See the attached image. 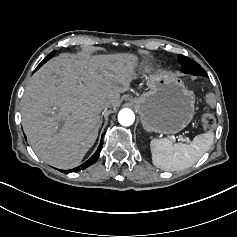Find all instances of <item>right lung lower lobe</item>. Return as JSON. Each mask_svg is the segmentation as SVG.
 Here are the masks:
<instances>
[{"label":"right lung lower lobe","mask_w":237,"mask_h":237,"mask_svg":"<svg viewBox=\"0 0 237 237\" xmlns=\"http://www.w3.org/2000/svg\"><path fill=\"white\" fill-rule=\"evenodd\" d=\"M102 145H103V138H102V140L100 142V145H99L97 151L95 152V154L89 160H87L81 166L76 167L74 169H71V170H60V171L63 172V173H66V174L70 173V172H78L79 170H83V169L89 167L90 165L94 164L97 161V159H98V157L100 155V151L102 149Z\"/></svg>","instance_id":"98d812e1"}]
</instances>
